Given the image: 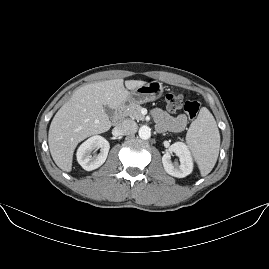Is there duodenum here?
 <instances>
[{
	"instance_id": "obj_1",
	"label": "duodenum",
	"mask_w": 269,
	"mask_h": 269,
	"mask_svg": "<svg viewBox=\"0 0 269 269\" xmlns=\"http://www.w3.org/2000/svg\"><path fill=\"white\" fill-rule=\"evenodd\" d=\"M124 116H125V108L123 105H120L117 107L115 111L113 122L115 124H119L124 119Z\"/></svg>"
}]
</instances>
